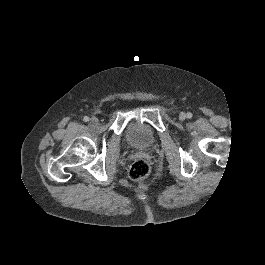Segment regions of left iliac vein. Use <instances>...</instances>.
Returning <instances> with one entry per match:
<instances>
[{
    "label": "left iliac vein",
    "instance_id": "4c4485c4",
    "mask_svg": "<svg viewBox=\"0 0 265 265\" xmlns=\"http://www.w3.org/2000/svg\"><path fill=\"white\" fill-rule=\"evenodd\" d=\"M179 119L182 120V121L185 120L186 119V114L184 112H181L179 114Z\"/></svg>",
    "mask_w": 265,
    "mask_h": 265
}]
</instances>
